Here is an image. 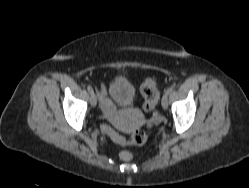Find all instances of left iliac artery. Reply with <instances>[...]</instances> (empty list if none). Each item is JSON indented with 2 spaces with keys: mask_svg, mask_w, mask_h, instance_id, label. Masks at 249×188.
Instances as JSON below:
<instances>
[{
  "mask_svg": "<svg viewBox=\"0 0 249 188\" xmlns=\"http://www.w3.org/2000/svg\"><path fill=\"white\" fill-rule=\"evenodd\" d=\"M174 90V87L171 86L170 88L167 89V91L165 92L167 95L171 94Z\"/></svg>",
  "mask_w": 249,
  "mask_h": 188,
  "instance_id": "left-iliac-artery-1",
  "label": "left iliac artery"
}]
</instances>
